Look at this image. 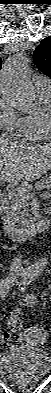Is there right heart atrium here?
<instances>
[{
    "mask_svg": "<svg viewBox=\"0 0 51 393\" xmlns=\"http://www.w3.org/2000/svg\"><path fill=\"white\" fill-rule=\"evenodd\" d=\"M0 130L7 135L22 137V116L5 98L0 100Z\"/></svg>",
    "mask_w": 51,
    "mask_h": 393,
    "instance_id": "right-heart-atrium-1",
    "label": "right heart atrium"
}]
</instances>
